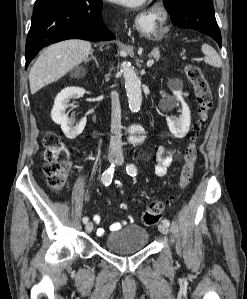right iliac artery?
<instances>
[{"mask_svg":"<svg viewBox=\"0 0 247 299\" xmlns=\"http://www.w3.org/2000/svg\"><path fill=\"white\" fill-rule=\"evenodd\" d=\"M115 171V164H112L105 172L102 174V182L105 186H108L112 182L113 174ZM83 223L88 222V217H83L82 219Z\"/></svg>","mask_w":247,"mask_h":299,"instance_id":"82829eb1","label":"right iliac artery"}]
</instances>
